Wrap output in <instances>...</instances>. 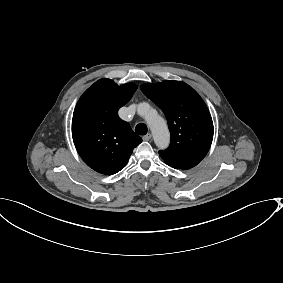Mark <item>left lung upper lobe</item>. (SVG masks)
Wrapping results in <instances>:
<instances>
[{
  "instance_id": "obj_1",
  "label": "left lung upper lobe",
  "mask_w": 283,
  "mask_h": 283,
  "mask_svg": "<svg viewBox=\"0 0 283 283\" xmlns=\"http://www.w3.org/2000/svg\"><path fill=\"white\" fill-rule=\"evenodd\" d=\"M142 92L166 115L171 143L159 155L173 168L190 169L201 162L213 139V122L199 94L184 82L145 83Z\"/></svg>"
}]
</instances>
